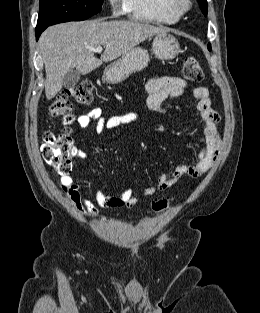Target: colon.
<instances>
[{
  "label": "colon",
  "instance_id": "5ec220e1",
  "mask_svg": "<svg viewBox=\"0 0 260 313\" xmlns=\"http://www.w3.org/2000/svg\"><path fill=\"white\" fill-rule=\"evenodd\" d=\"M182 74L186 80L198 82L204 78V71L194 57H186L183 61ZM94 97V85L85 80L57 94L49 107V114L58 119L65 129L60 133L47 131L43 135L42 154L44 160L59 176H66L72 169L73 160L77 155L76 147L67 126L73 121V104H89ZM170 205L169 199L154 202L153 210L161 212Z\"/></svg>",
  "mask_w": 260,
  "mask_h": 313
}]
</instances>
